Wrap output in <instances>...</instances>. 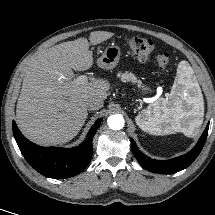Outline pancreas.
I'll return each mask as SVG.
<instances>
[{
	"instance_id": "pancreas-1",
	"label": "pancreas",
	"mask_w": 215,
	"mask_h": 215,
	"mask_svg": "<svg viewBox=\"0 0 215 215\" xmlns=\"http://www.w3.org/2000/svg\"><path fill=\"white\" fill-rule=\"evenodd\" d=\"M118 77H120L123 81L138 82L140 84V81H138L136 76L132 73H119Z\"/></svg>"
}]
</instances>
